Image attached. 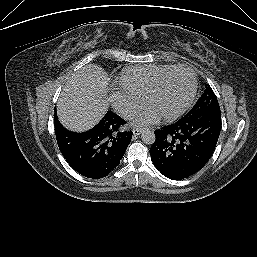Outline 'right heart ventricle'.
<instances>
[{
  "label": "right heart ventricle",
  "instance_id": "right-heart-ventricle-1",
  "mask_svg": "<svg viewBox=\"0 0 257 257\" xmlns=\"http://www.w3.org/2000/svg\"><path fill=\"white\" fill-rule=\"evenodd\" d=\"M172 65L152 64L126 68L119 80L122 90L145 98L154 81Z\"/></svg>",
  "mask_w": 257,
  "mask_h": 257
}]
</instances>
